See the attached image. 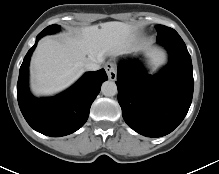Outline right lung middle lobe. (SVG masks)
Instances as JSON below:
<instances>
[{"instance_id": "right-lung-middle-lobe-1", "label": "right lung middle lobe", "mask_w": 219, "mask_h": 174, "mask_svg": "<svg viewBox=\"0 0 219 174\" xmlns=\"http://www.w3.org/2000/svg\"><path fill=\"white\" fill-rule=\"evenodd\" d=\"M60 30V26L57 24H53L50 25L48 27H46L41 33H39V36H44V35H48V34H52V33H56L57 31Z\"/></svg>"}]
</instances>
